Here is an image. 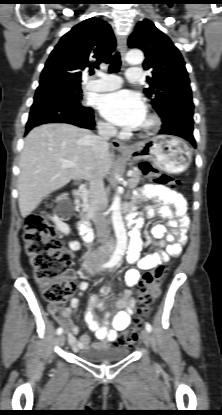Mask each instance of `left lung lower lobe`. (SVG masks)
Here are the masks:
<instances>
[{
	"label": "left lung lower lobe",
	"mask_w": 222,
	"mask_h": 415,
	"mask_svg": "<svg viewBox=\"0 0 222 415\" xmlns=\"http://www.w3.org/2000/svg\"><path fill=\"white\" fill-rule=\"evenodd\" d=\"M182 116L177 118L171 115L166 119H162V128L160 134L176 135L189 141L195 147V139L193 136V102L192 98H185L182 102Z\"/></svg>",
	"instance_id": "0a47b994"
}]
</instances>
